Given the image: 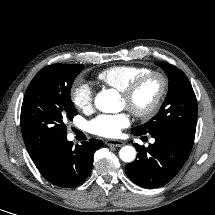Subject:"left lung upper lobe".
Instances as JSON below:
<instances>
[{
	"mask_svg": "<svg viewBox=\"0 0 215 215\" xmlns=\"http://www.w3.org/2000/svg\"><path fill=\"white\" fill-rule=\"evenodd\" d=\"M169 79V89L160 111L147 123L134 127L132 132L151 134L173 131L187 138L195 137L197 100L183 71L167 63H157Z\"/></svg>",
	"mask_w": 215,
	"mask_h": 215,
	"instance_id": "5c2ea615",
	"label": "left lung upper lobe"
}]
</instances>
